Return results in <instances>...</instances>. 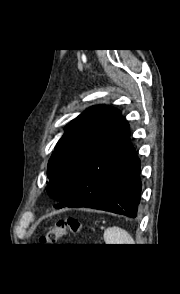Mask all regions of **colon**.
<instances>
[{"mask_svg": "<svg viewBox=\"0 0 180 294\" xmlns=\"http://www.w3.org/2000/svg\"><path fill=\"white\" fill-rule=\"evenodd\" d=\"M81 228V223L75 218L69 217L59 220L49 227L43 242L56 244L62 236L78 233Z\"/></svg>", "mask_w": 180, "mask_h": 294, "instance_id": "5ec220e1", "label": "colon"}]
</instances>
